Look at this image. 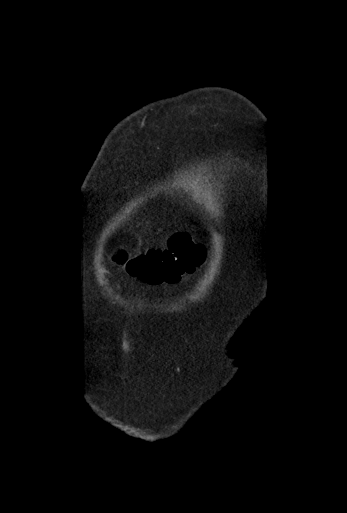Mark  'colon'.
Instances as JSON below:
<instances>
[{
	"mask_svg": "<svg viewBox=\"0 0 347 513\" xmlns=\"http://www.w3.org/2000/svg\"><path fill=\"white\" fill-rule=\"evenodd\" d=\"M204 258L203 245L185 232L173 235L164 250L150 249L135 258H130L124 250L115 254V260L125 266L130 275L149 285L176 283L201 265Z\"/></svg>",
	"mask_w": 347,
	"mask_h": 513,
	"instance_id": "obj_1",
	"label": "colon"
}]
</instances>
